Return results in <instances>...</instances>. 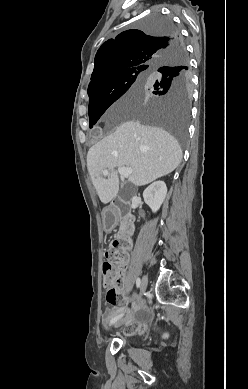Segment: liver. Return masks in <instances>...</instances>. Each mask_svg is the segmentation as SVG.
Here are the masks:
<instances>
[{
  "label": "liver",
  "instance_id": "1",
  "mask_svg": "<svg viewBox=\"0 0 248 389\" xmlns=\"http://www.w3.org/2000/svg\"><path fill=\"white\" fill-rule=\"evenodd\" d=\"M136 92L131 88L120 104L138 103ZM181 159L179 143L167 131L128 120L89 149L87 168L101 202L107 204L119 191L116 167L131 168L129 181L144 186L174 171ZM105 169L110 171L107 178L102 176Z\"/></svg>",
  "mask_w": 248,
  "mask_h": 389
}]
</instances>
